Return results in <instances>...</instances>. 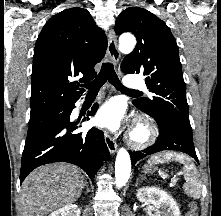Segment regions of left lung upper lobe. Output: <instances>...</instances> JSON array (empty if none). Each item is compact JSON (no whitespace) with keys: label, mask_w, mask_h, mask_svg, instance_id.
<instances>
[{"label":"left lung upper lobe","mask_w":221,"mask_h":216,"mask_svg":"<svg viewBox=\"0 0 221 216\" xmlns=\"http://www.w3.org/2000/svg\"><path fill=\"white\" fill-rule=\"evenodd\" d=\"M115 32L136 36L137 46L124 58L121 69L145 75L147 88L155 94L152 99L135 100L136 107L156 121L192 132L178 46L168 26L148 10L131 7L120 13Z\"/></svg>","instance_id":"5c2ea615"}]
</instances>
